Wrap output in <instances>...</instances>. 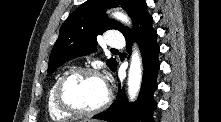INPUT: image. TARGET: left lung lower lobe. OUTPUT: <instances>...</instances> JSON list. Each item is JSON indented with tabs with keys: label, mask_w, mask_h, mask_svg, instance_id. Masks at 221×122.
<instances>
[{
	"label": "left lung lower lobe",
	"mask_w": 221,
	"mask_h": 122,
	"mask_svg": "<svg viewBox=\"0 0 221 122\" xmlns=\"http://www.w3.org/2000/svg\"><path fill=\"white\" fill-rule=\"evenodd\" d=\"M131 17L143 58V78L139 97L135 103L130 104L126 101L124 90L119 86L116 100L106 111L95 115L93 117L95 119L108 122H154L152 115L157 104L153 99V93L157 89L156 75L160 68L157 32L152 28L153 18L147 12L144 0L137 1ZM123 35L127 42V50L130 52L133 40L131 32L127 29Z\"/></svg>",
	"instance_id": "left-lung-lower-lobe-1"
}]
</instances>
